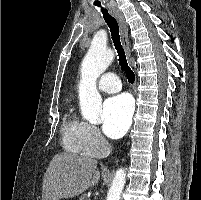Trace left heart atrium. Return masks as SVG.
I'll return each instance as SVG.
<instances>
[{"label":"left heart atrium","instance_id":"obj_1","mask_svg":"<svg viewBox=\"0 0 201 200\" xmlns=\"http://www.w3.org/2000/svg\"><path fill=\"white\" fill-rule=\"evenodd\" d=\"M133 104L129 96L122 94L109 98L103 105V131L113 139L121 138L129 129Z\"/></svg>","mask_w":201,"mask_h":200}]
</instances>
